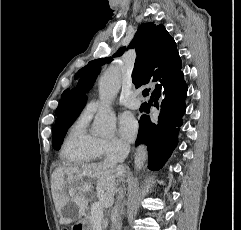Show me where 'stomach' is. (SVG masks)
<instances>
[{"mask_svg":"<svg viewBox=\"0 0 241 230\" xmlns=\"http://www.w3.org/2000/svg\"><path fill=\"white\" fill-rule=\"evenodd\" d=\"M76 226L79 230H91V226L89 223H87L86 219L79 220Z\"/></svg>","mask_w":241,"mask_h":230,"instance_id":"obj_1","label":"stomach"}]
</instances>
